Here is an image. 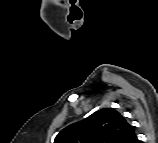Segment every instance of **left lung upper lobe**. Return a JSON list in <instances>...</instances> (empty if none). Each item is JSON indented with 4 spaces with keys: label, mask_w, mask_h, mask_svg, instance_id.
Instances as JSON below:
<instances>
[{
    "label": "left lung upper lobe",
    "mask_w": 158,
    "mask_h": 143,
    "mask_svg": "<svg viewBox=\"0 0 158 143\" xmlns=\"http://www.w3.org/2000/svg\"><path fill=\"white\" fill-rule=\"evenodd\" d=\"M54 143H137V137L118 111L103 108L64 128Z\"/></svg>",
    "instance_id": "left-lung-upper-lobe-1"
}]
</instances>
